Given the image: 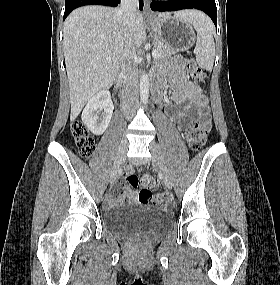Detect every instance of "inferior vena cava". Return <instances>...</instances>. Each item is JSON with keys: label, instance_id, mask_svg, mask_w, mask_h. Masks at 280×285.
Listing matches in <instances>:
<instances>
[{"label": "inferior vena cava", "instance_id": "1", "mask_svg": "<svg viewBox=\"0 0 280 285\" xmlns=\"http://www.w3.org/2000/svg\"><path fill=\"white\" fill-rule=\"evenodd\" d=\"M137 8L138 0H121L120 11L123 14L124 24L126 25L128 35V41L126 43L121 64L124 79L121 94V106L122 111L127 118L130 117L132 105L137 102L139 90L138 67L135 62L136 52L131 40Z\"/></svg>", "mask_w": 280, "mask_h": 285}]
</instances>
